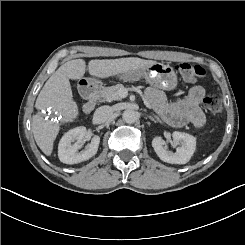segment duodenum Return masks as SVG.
I'll return each instance as SVG.
<instances>
[{
    "mask_svg": "<svg viewBox=\"0 0 245 245\" xmlns=\"http://www.w3.org/2000/svg\"><path fill=\"white\" fill-rule=\"evenodd\" d=\"M82 93L86 98L83 111L85 114H90L95 109L97 104V89L94 85L85 84L82 87Z\"/></svg>",
    "mask_w": 245,
    "mask_h": 245,
    "instance_id": "duodenum-1",
    "label": "duodenum"
}]
</instances>
